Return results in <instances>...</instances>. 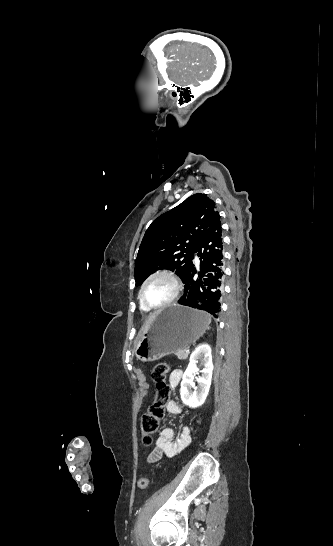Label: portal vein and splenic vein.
I'll use <instances>...</instances> for the list:
<instances>
[{
    "label": "portal vein and splenic vein",
    "instance_id": "1",
    "mask_svg": "<svg viewBox=\"0 0 333 546\" xmlns=\"http://www.w3.org/2000/svg\"><path fill=\"white\" fill-rule=\"evenodd\" d=\"M187 353H189L190 351L189 350H186Z\"/></svg>",
    "mask_w": 333,
    "mask_h": 546
}]
</instances>
